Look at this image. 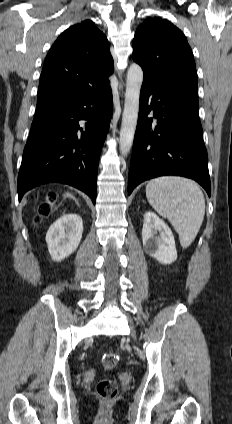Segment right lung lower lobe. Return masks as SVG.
I'll list each match as a JSON object with an SVG mask.
<instances>
[{
  "instance_id": "right-lung-lower-lobe-1",
  "label": "right lung lower lobe",
  "mask_w": 232,
  "mask_h": 424,
  "mask_svg": "<svg viewBox=\"0 0 232 424\" xmlns=\"http://www.w3.org/2000/svg\"><path fill=\"white\" fill-rule=\"evenodd\" d=\"M112 109L110 86L84 98L37 105L18 175L19 201L38 185L60 182L85 192L95 204L98 162ZM81 119L87 120L84 131Z\"/></svg>"
}]
</instances>
